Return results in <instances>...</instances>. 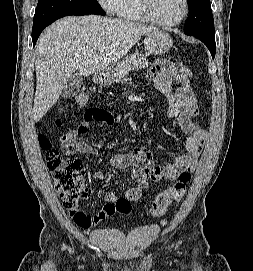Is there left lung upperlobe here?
Returning <instances> with one entry per match:
<instances>
[{"label": "left lung upper lobe", "instance_id": "left-lung-upper-lobe-1", "mask_svg": "<svg viewBox=\"0 0 253 271\" xmlns=\"http://www.w3.org/2000/svg\"><path fill=\"white\" fill-rule=\"evenodd\" d=\"M189 15L184 26L187 35L215 36L210 0H187Z\"/></svg>", "mask_w": 253, "mask_h": 271}]
</instances>
